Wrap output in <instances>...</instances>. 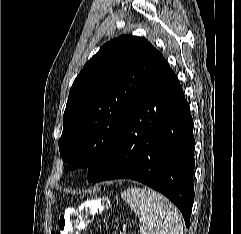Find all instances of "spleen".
I'll return each mask as SVG.
<instances>
[{
  "label": "spleen",
  "mask_w": 241,
  "mask_h": 234,
  "mask_svg": "<svg viewBox=\"0 0 241 234\" xmlns=\"http://www.w3.org/2000/svg\"><path fill=\"white\" fill-rule=\"evenodd\" d=\"M121 197L139 215L141 234H183L182 218L174 205L147 187L129 188Z\"/></svg>",
  "instance_id": "1"
}]
</instances>
